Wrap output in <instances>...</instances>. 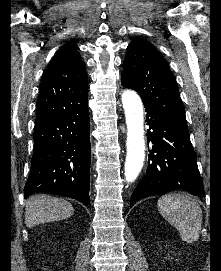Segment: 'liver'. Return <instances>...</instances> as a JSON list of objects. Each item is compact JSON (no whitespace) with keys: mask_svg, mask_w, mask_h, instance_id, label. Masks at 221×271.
I'll return each mask as SVG.
<instances>
[{"mask_svg":"<svg viewBox=\"0 0 221 271\" xmlns=\"http://www.w3.org/2000/svg\"><path fill=\"white\" fill-rule=\"evenodd\" d=\"M74 207L61 197L51 195H32L26 201L25 223L27 227L45 223V221H58L73 215Z\"/></svg>","mask_w":221,"mask_h":271,"instance_id":"6515ba94","label":"liver"}]
</instances>
